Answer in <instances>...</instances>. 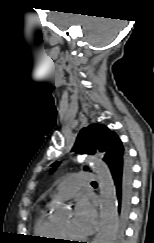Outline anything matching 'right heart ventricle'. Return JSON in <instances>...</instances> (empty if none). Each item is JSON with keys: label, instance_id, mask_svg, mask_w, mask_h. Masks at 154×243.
Segmentation results:
<instances>
[{"label": "right heart ventricle", "instance_id": "obj_1", "mask_svg": "<svg viewBox=\"0 0 154 243\" xmlns=\"http://www.w3.org/2000/svg\"><path fill=\"white\" fill-rule=\"evenodd\" d=\"M35 233L39 237H43L49 240L57 241L60 239V235L58 233V225H56L48 218L44 209L41 210L37 216L35 222Z\"/></svg>", "mask_w": 154, "mask_h": 243}]
</instances>
